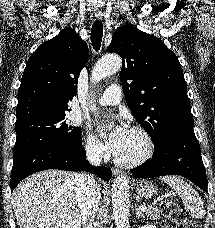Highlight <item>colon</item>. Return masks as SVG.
Listing matches in <instances>:
<instances>
[{"mask_svg":"<svg viewBox=\"0 0 215 228\" xmlns=\"http://www.w3.org/2000/svg\"><path fill=\"white\" fill-rule=\"evenodd\" d=\"M160 212L167 219L165 228H197V225L187 218L184 209L171 199L160 203Z\"/></svg>","mask_w":215,"mask_h":228,"instance_id":"5ec220e1","label":"colon"}]
</instances>
